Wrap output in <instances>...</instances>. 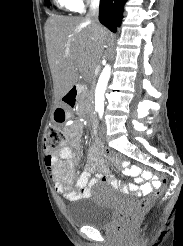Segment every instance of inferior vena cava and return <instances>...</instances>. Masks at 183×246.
<instances>
[{"label":"inferior vena cava","instance_id":"602c4592","mask_svg":"<svg viewBox=\"0 0 183 246\" xmlns=\"http://www.w3.org/2000/svg\"><path fill=\"white\" fill-rule=\"evenodd\" d=\"M99 1L100 0H90L89 11L86 15V20L95 28H100L98 21Z\"/></svg>","mask_w":183,"mask_h":246}]
</instances>
